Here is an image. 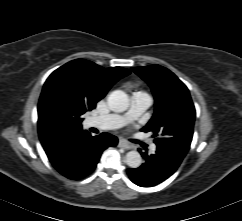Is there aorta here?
Here are the masks:
<instances>
[{"mask_svg": "<svg viewBox=\"0 0 242 221\" xmlns=\"http://www.w3.org/2000/svg\"><path fill=\"white\" fill-rule=\"evenodd\" d=\"M107 103L109 109L113 112H124L129 106V98L121 90H115L108 96ZM126 164L131 168H138L142 164V158L139 152L129 151L125 157Z\"/></svg>", "mask_w": 242, "mask_h": 221, "instance_id": "1", "label": "aorta"}]
</instances>
